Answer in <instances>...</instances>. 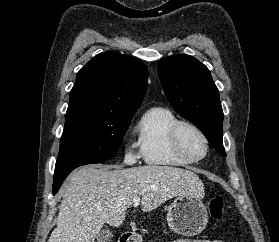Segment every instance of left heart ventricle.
I'll use <instances>...</instances> for the list:
<instances>
[{
  "instance_id": "b2bd125f",
  "label": "left heart ventricle",
  "mask_w": 279,
  "mask_h": 242,
  "mask_svg": "<svg viewBox=\"0 0 279 242\" xmlns=\"http://www.w3.org/2000/svg\"><path fill=\"white\" fill-rule=\"evenodd\" d=\"M182 142L185 150L194 157L203 155L205 146L202 139L192 130L184 129L182 131Z\"/></svg>"
}]
</instances>
